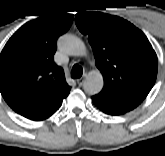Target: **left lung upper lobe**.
Masks as SVG:
<instances>
[{"label": "left lung upper lobe", "instance_id": "1", "mask_svg": "<svg viewBox=\"0 0 165 156\" xmlns=\"http://www.w3.org/2000/svg\"><path fill=\"white\" fill-rule=\"evenodd\" d=\"M75 22L88 35L104 77L98 95L127 111L136 108L157 77V56L147 37L130 22L100 12L79 14Z\"/></svg>", "mask_w": 165, "mask_h": 156}]
</instances>
